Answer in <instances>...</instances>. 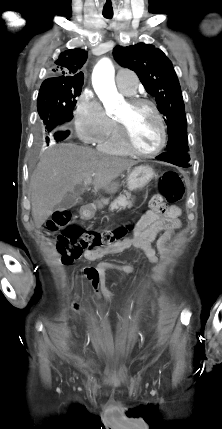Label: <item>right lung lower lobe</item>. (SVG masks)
Returning a JSON list of instances; mask_svg holds the SVG:
<instances>
[{
	"label": "right lung lower lobe",
	"mask_w": 222,
	"mask_h": 429,
	"mask_svg": "<svg viewBox=\"0 0 222 429\" xmlns=\"http://www.w3.org/2000/svg\"><path fill=\"white\" fill-rule=\"evenodd\" d=\"M70 134V131L67 130L65 127L59 128L51 133L48 134L46 137V141L49 142V137H54L57 141H62L65 138H67Z\"/></svg>",
	"instance_id": "1"
}]
</instances>
